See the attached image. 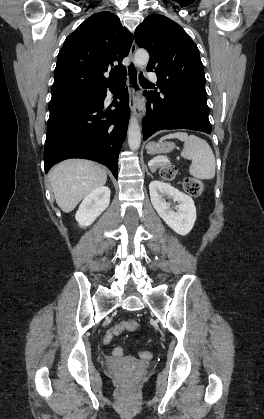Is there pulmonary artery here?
<instances>
[{
	"label": "pulmonary artery",
	"mask_w": 264,
	"mask_h": 419,
	"mask_svg": "<svg viewBox=\"0 0 264 419\" xmlns=\"http://www.w3.org/2000/svg\"><path fill=\"white\" fill-rule=\"evenodd\" d=\"M148 78L151 82H156L157 81V76H156L155 73H149Z\"/></svg>",
	"instance_id": "pulmonary-artery-1"
}]
</instances>
